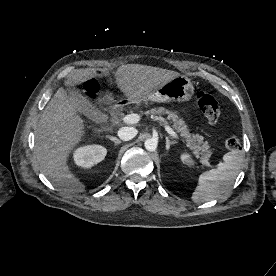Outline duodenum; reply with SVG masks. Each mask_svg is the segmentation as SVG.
<instances>
[{"label":"duodenum","mask_w":276,"mask_h":276,"mask_svg":"<svg viewBox=\"0 0 276 276\" xmlns=\"http://www.w3.org/2000/svg\"><path fill=\"white\" fill-rule=\"evenodd\" d=\"M122 109V105L117 103V104H113L110 109H109V117L111 119H113L114 117H116V115L118 114V112Z\"/></svg>","instance_id":"obj_1"}]
</instances>
